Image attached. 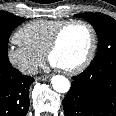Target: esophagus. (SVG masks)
Listing matches in <instances>:
<instances>
[{
	"label": "esophagus",
	"mask_w": 116,
	"mask_h": 116,
	"mask_svg": "<svg viewBox=\"0 0 116 116\" xmlns=\"http://www.w3.org/2000/svg\"><path fill=\"white\" fill-rule=\"evenodd\" d=\"M49 75H42V76H39V77H36V80L38 81V80H48L49 79Z\"/></svg>",
	"instance_id": "1"
}]
</instances>
